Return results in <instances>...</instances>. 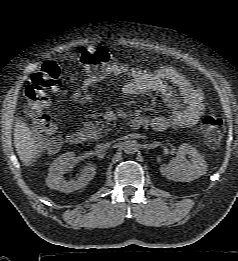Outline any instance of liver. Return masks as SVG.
Wrapping results in <instances>:
<instances>
[{
  "mask_svg": "<svg viewBox=\"0 0 238 261\" xmlns=\"http://www.w3.org/2000/svg\"><path fill=\"white\" fill-rule=\"evenodd\" d=\"M29 126L17 119L14 126V144L18 156L25 166H30L38 153L39 145Z\"/></svg>",
  "mask_w": 238,
  "mask_h": 261,
  "instance_id": "1",
  "label": "liver"
}]
</instances>
